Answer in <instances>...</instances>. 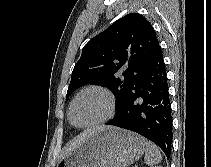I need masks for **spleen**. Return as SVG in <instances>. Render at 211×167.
Segmentation results:
<instances>
[{
  "mask_svg": "<svg viewBox=\"0 0 211 167\" xmlns=\"http://www.w3.org/2000/svg\"><path fill=\"white\" fill-rule=\"evenodd\" d=\"M161 160H162V155L157 146L150 141H146L144 162L148 166L154 167V165L160 163Z\"/></svg>",
  "mask_w": 211,
  "mask_h": 167,
  "instance_id": "spleen-1",
  "label": "spleen"
}]
</instances>
